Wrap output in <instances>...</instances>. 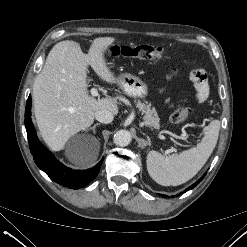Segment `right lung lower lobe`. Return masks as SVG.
<instances>
[{
	"label": "right lung lower lobe",
	"mask_w": 247,
	"mask_h": 247,
	"mask_svg": "<svg viewBox=\"0 0 247 247\" xmlns=\"http://www.w3.org/2000/svg\"><path fill=\"white\" fill-rule=\"evenodd\" d=\"M25 127L30 151L36 165L53 181L70 189H79L89 184L99 173L103 159L93 168L71 170L60 163L38 140L31 121V96L28 97L25 109Z\"/></svg>",
	"instance_id": "right-lung-lower-lobe-1"
}]
</instances>
